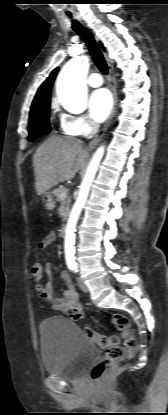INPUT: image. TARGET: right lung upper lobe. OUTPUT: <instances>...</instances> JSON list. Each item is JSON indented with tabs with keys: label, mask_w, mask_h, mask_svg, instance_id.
<instances>
[{
	"label": "right lung upper lobe",
	"mask_w": 168,
	"mask_h": 415,
	"mask_svg": "<svg viewBox=\"0 0 168 415\" xmlns=\"http://www.w3.org/2000/svg\"><path fill=\"white\" fill-rule=\"evenodd\" d=\"M57 72L58 68L54 69L51 72L50 76L39 87L36 96L32 102L30 112L50 104L51 89Z\"/></svg>",
	"instance_id": "1"
}]
</instances>
